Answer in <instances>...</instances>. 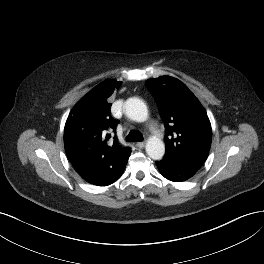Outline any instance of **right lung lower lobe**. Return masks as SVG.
<instances>
[{
  "label": "right lung lower lobe",
  "mask_w": 264,
  "mask_h": 264,
  "mask_svg": "<svg viewBox=\"0 0 264 264\" xmlns=\"http://www.w3.org/2000/svg\"><path fill=\"white\" fill-rule=\"evenodd\" d=\"M127 161L128 159L116 167H111L103 162L73 166L85 181L97 186H107L121 177Z\"/></svg>",
  "instance_id": "1"
}]
</instances>
